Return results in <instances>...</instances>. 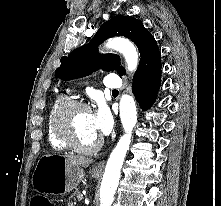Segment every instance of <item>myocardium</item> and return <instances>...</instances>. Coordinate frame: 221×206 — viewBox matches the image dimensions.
<instances>
[{
	"instance_id": "obj_1",
	"label": "myocardium",
	"mask_w": 221,
	"mask_h": 206,
	"mask_svg": "<svg viewBox=\"0 0 221 206\" xmlns=\"http://www.w3.org/2000/svg\"><path fill=\"white\" fill-rule=\"evenodd\" d=\"M78 109L90 111V107L81 101L68 100L62 103L56 109L53 116L54 132L59 140L72 151L80 154H92L100 148L102 139L98 138V140L90 146H83L78 143L74 135L71 119L73 111Z\"/></svg>"
}]
</instances>
